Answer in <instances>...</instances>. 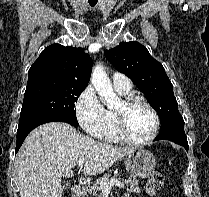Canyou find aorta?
Masks as SVG:
<instances>
[{"label":"aorta","mask_w":209,"mask_h":197,"mask_svg":"<svg viewBox=\"0 0 209 197\" xmlns=\"http://www.w3.org/2000/svg\"><path fill=\"white\" fill-rule=\"evenodd\" d=\"M91 82L108 108H114L120 104V99L114 92L111 81L101 64L93 68Z\"/></svg>","instance_id":"1"}]
</instances>
